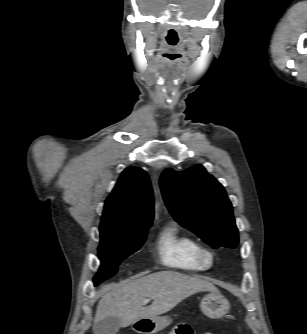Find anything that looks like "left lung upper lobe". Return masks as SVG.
Listing matches in <instances>:
<instances>
[{"label":"left lung upper lobe","mask_w":307,"mask_h":334,"mask_svg":"<svg viewBox=\"0 0 307 334\" xmlns=\"http://www.w3.org/2000/svg\"><path fill=\"white\" fill-rule=\"evenodd\" d=\"M164 201L175 220L213 248H234L238 230L223 186L201 165L178 172L166 169L160 178Z\"/></svg>","instance_id":"obj_1"}]
</instances>
